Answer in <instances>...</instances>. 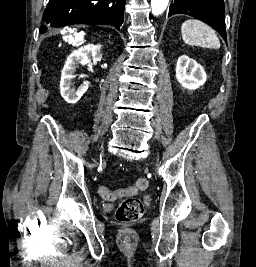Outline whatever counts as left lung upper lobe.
<instances>
[{
    "label": "left lung upper lobe",
    "instance_id": "5c2ea615",
    "mask_svg": "<svg viewBox=\"0 0 256 267\" xmlns=\"http://www.w3.org/2000/svg\"><path fill=\"white\" fill-rule=\"evenodd\" d=\"M174 14H187L202 20L212 26L227 43L223 0H174L168 17Z\"/></svg>",
    "mask_w": 256,
    "mask_h": 267
}]
</instances>
